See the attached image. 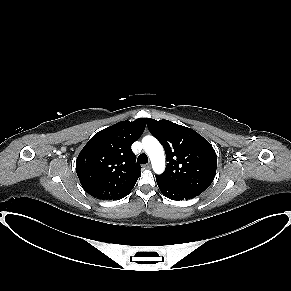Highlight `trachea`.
<instances>
[{
    "label": "trachea",
    "mask_w": 291,
    "mask_h": 291,
    "mask_svg": "<svg viewBox=\"0 0 291 291\" xmlns=\"http://www.w3.org/2000/svg\"><path fill=\"white\" fill-rule=\"evenodd\" d=\"M137 162H138L139 164H146V163L148 162V157H147V155H146V154H140V155L138 156Z\"/></svg>",
    "instance_id": "obj_1"
}]
</instances>
